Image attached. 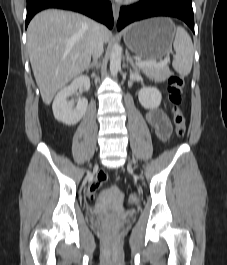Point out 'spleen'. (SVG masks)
<instances>
[{
    "label": "spleen",
    "instance_id": "spleen-1",
    "mask_svg": "<svg viewBox=\"0 0 227 265\" xmlns=\"http://www.w3.org/2000/svg\"><path fill=\"white\" fill-rule=\"evenodd\" d=\"M173 47L176 55L172 62V66L180 75L187 76L192 69L194 48L191 37L187 31L180 26L176 29Z\"/></svg>",
    "mask_w": 227,
    "mask_h": 265
}]
</instances>
